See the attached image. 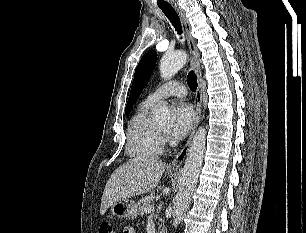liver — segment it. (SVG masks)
I'll list each match as a JSON object with an SVG mask.
<instances>
[{"label": "liver", "mask_w": 306, "mask_h": 233, "mask_svg": "<svg viewBox=\"0 0 306 233\" xmlns=\"http://www.w3.org/2000/svg\"><path fill=\"white\" fill-rule=\"evenodd\" d=\"M165 163L153 158H135L118 167L106 183L100 214L114 203L151 192L160 182Z\"/></svg>", "instance_id": "6515ba94"}]
</instances>
